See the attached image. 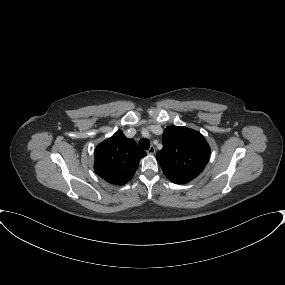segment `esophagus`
I'll use <instances>...</instances> for the list:
<instances>
[{
	"mask_svg": "<svg viewBox=\"0 0 285 285\" xmlns=\"http://www.w3.org/2000/svg\"><path fill=\"white\" fill-rule=\"evenodd\" d=\"M147 153L150 154V155L155 154V148H154L153 146H151V147L147 150Z\"/></svg>",
	"mask_w": 285,
	"mask_h": 285,
	"instance_id": "1",
	"label": "esophagus"
}]
</instances>
